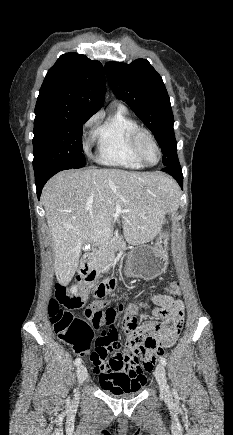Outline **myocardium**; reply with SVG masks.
I'll return each instance as SVG.
<instances>
[{
    "instance_id": "obj_1",
    "label": "myocardium",
    "mask_w": 233,
    "mask_h": 435,
    "mask_svg": "<svg viewBox=\"0 0 233 435\" xmlns=\"http://www.w3.org/2000/svg\"><path fill=\"white\" fill-rule=\"evenodd\" d=\"M144 139H146V140H148L150 143H152V145H153V146L156 148V150H157V153H158V160H157V162L154 163V164L149 163V162L146 160V158H145V155H144V152H143V146H142V141H143ZM131 143H132V147H133V150H134L136 156L140 159V161H141L145 166H148V167H154V166H156V165L159 163V161L161 160V157H162L161 148H160L158 142L156 141L155 137L153 136V134H152L149 130H147V129H145V128H142V127H138L137 129H135V130L133 131L132 135H131Z\"/></svg>"
}]
</instances>
